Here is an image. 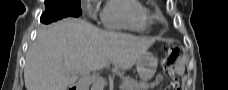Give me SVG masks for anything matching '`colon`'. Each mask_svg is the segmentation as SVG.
Returning <instances> with one entry per match:
<instances>
[{"label": "colon", "instance_id": "obj_1", "mask_svg": "<svg viewBox=\"0 0 228 90\" xmlns=\"http://www.w3.org/2000/svg\"><path fill=\"white\" fill-rule=\"evenodd\" d=\"M178 56V50L177 48H169L166 50L165 56H164V65L166 67L167 76L170 80V85L166 87V90L173 89V90H179L178 84L176 81V75L173 70V65L177 59Z\"/></svg>", "mask_w": 228, "mask_h": 90}]
</instances>
